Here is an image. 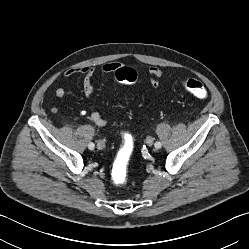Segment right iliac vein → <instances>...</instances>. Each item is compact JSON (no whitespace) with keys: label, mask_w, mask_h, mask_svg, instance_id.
Wrapping results in <instances>:
<instances>
[{"label":"right iliac vein","mask_w":249,"mask_h":249,"mask_svg":"<svg viewBox=\"0 0 249 249\" xmlns=\"http://www.w3.org/2000/svg\"><path fill=\"white\" fill-rule=\"evenodd\" d=\"M104 147H105V143L102 140L98 141L97 148L99 150H102V149H104Z\"/></svg>","instance_id":"1"}]
</instances>
